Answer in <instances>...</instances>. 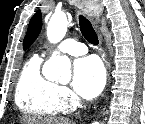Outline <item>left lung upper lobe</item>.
<instances>
[{
    "label": "left lung upper lobe",
    "mask_w": 145,
    "mask_h": 124,
    "mask_svg": "<svg viewBox=\"0 0 145 124\" xmlns=\"http://www.w3.org/2000/svg\"><path fill=\"white\" fill-rule=\"evenodd\" d=\"M41 27H42L41 13L38 11L30 20L27 34L23 42L24 49H27L32 44V42L36 39V37L40 33Z\"/></svg>",
    "instance_id": "1"
}]
</instances>
